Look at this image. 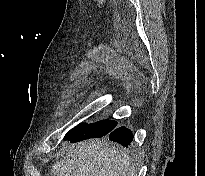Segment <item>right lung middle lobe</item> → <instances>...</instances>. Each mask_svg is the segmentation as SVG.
Masks as SVG:
<instances>
[{"label":"right lung middle lobe","mask_w":205,"mask_h":176,"mask_svg":"<svg viewBox=\"0 0 205 176\" xmlns=\"http://www.w3.org/2000/svg\"><path fill=\"white\" fill-rule=\"evenodd\" d=\"M117 125L114 120H103L92 124H79L71 129L64 140L71 138L78 139V141L85 140L88 138L102 137L111 132Z\"/></svg>","instance_id":"obj_1"}]
</instances>
